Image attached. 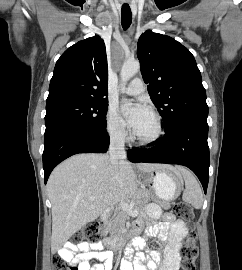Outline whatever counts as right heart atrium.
I'll return each instance as SVG.
<instances>
[{
  "instance_id": "right-heart-atrium-1",
  "label": "right heart atrium",
  "mask_w": 242,
  "mask_h": 270,
  "mask_svg": "<svg viewBox=\"0 0 242 270\" xmlns=\"http://www.w3.org/2000/svg\"><path fill=\"white\" fill-rule=\"evenodd\" d=\"M106 130L110 138L116 142H124L127 139L126 125L114 107H109L107 111Z\"/></svg>"
}]
</instances>
